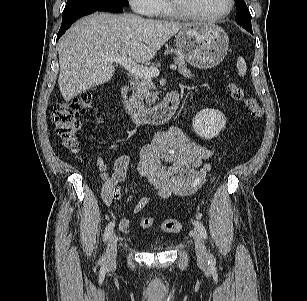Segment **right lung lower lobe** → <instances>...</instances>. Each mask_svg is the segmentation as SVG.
<instances>
[{
  "mask_svg": "<svg viewBox=\"0 0 307 301\" xmlns=\"http://www.w3.org/2000/svg\"><path fill=\"white\" fill-rule=\"evenodd\" d=\"M96 11H108L111 13H119V12H122L123 9L122 7H119V6L102 5V6L90 7L87 9H83V10L65 15L62 18V24L58 32V35H57V40L66 32V30L71 26V24L75 22L78 18L85 16V15H89Z\"/></svg>",
  "mask_w": 307,
  "mask_h": 301,
  "instance_id": "98d812e1",
  "label": "right lung lower lobe"
}]
</instances>
